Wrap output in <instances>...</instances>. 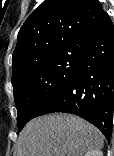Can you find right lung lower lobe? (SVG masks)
Listing matches in <instances>:
<instances>
[{"mask_svg": "<svg viewBox=\"0 0 114 156\" xmlns=\"http://www.w3.org/2000/svg\"><path fill=\"white\" fill-rule=\"evenodd\" d=\"M79 45L83 58L73 79L38 116L53 112L78 115L109 140L114 113V24L110 17Z\"/></svg>", "mask_w": 114, "mask_h": 156, "instance_id": "98d812e1", "label": "right lung lower lobe"}]
</instances>
